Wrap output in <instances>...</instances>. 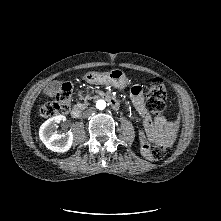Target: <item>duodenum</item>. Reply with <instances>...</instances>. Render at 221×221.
Here are the masks:
<instances>
[{"mask_svg":"<svg viewBox=\"0 0 221 221\" xmlns=\"http://www.w3.org/2000/svg\"><path fill=\"white\" fill-rule=\"evenodd\" d=\"M97 97L105 99L113 109H119L120 101L115 96L108 92H97ZM82 114V109L80 107H75L71 111V116L73 118H79Z\"/></svg>","mask_w":221,"mask_h":221,"instance_id":"obj_1","label":"duodenum"}]
</instances>
